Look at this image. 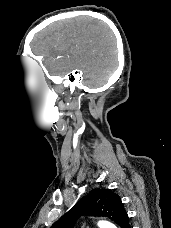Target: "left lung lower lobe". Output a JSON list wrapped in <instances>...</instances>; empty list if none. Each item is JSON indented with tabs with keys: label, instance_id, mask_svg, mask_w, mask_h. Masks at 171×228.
I'll return each mask as SVG.
<instances>
[{
	"label": "left lung lower lobe",
	"instance_id": "1",
	"mask_svg": "<svg viewBox=\"0 0 171 228\" xmlns=\"http://www.w3.org/2000/svg\"><path fill=\"white\" fill-rule=\"evenodd\" d=\"M125 228H131L129 222L126 224Z\"/></svg>",
	"mask_w": 171,
	"mask_h": 228
}]
</instances>
